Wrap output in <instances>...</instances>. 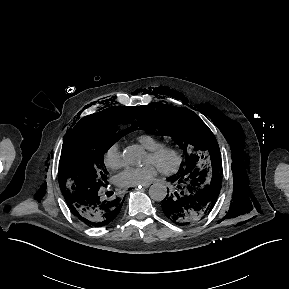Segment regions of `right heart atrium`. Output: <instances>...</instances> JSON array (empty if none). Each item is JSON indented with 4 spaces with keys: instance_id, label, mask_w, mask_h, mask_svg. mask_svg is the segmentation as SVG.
Here are the masks:
<instances>
[{
    "instance_id": "d8ad5b80",
    "label": "right heart atrium",
    "mask_w": 289,
    "mask_h": 289,
    "mask_svg": "<svg viewBox=\"0 0 289 289\" xmlns=\"http://www.w3.org/2000/svg\"><path fill=\"white\" fill-rule=\"evenodd\" d=\"M104 164L111 169H117L122 166L123 158L119 143H112L103 153Z\"/></svg>"
}]
</instances>
